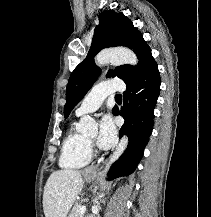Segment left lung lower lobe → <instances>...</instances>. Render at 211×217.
<instances>
[{"instance_id":"obj_1","label":"left lung lower lobe","mask_w":211,"mask_h":217,"mask_svg":"<svg viewBox=\"0 0 211 217\" xmlns=\"http://www.w3.org/2000/svg\"><path fill=\"white\" fill-rule=\"evenodd\" d=\"M160 83L157 64L126 83L123 106L121 109L116 106L112 113L125 119L120 136L129 135V144L124 154L111 167V179L132 174L141 160L153 129V113L160 92Z\"/></svg>"}]
</instances>
